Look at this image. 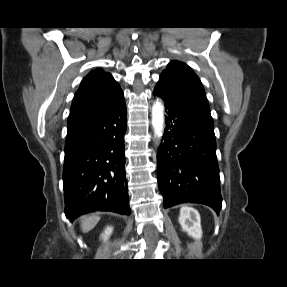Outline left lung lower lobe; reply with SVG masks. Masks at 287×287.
I'll list each match as a JSON object with an SVG mask.
<instances>
[{"instance_id":"obj_1","label":"left lung lower lobe","mask_w":287,"mask_h":287,"mask_svg":"<svg viewBox=\"0 0 287 287\" xmlns=\"http://www.w3.org/2000/svg\"><path fill=\"white\" fill-rule=\"evenodd\" d=\"M153 94L164 100L167 113L157 155L164 208L192 202L219 213L222 197L214 128L172 102L162 89L155 87Z\"/></svg>"}]
</instances>
